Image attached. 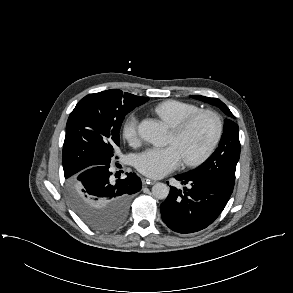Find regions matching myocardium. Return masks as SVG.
Returning a JSON list of instances; mask_svg holds the SVG:
<instances>
[{"label":"myocardium","instance_id":"1","mask_svg":"<svg viewBox=\"0 0 293 293\" xmlns=\"http://www.w3.org/2000/svg\"><path fill=\"white\" fill-rule=\"evenodd\" d=\"M202 117H208L210 118L213 123H214V132L213 135L208 142V144L205 146L203 150H201L199 153L191 156H186L184 157V162L187 165L194 166L202 163L205 159H207L212 152L215 150L216 146L218 145L222 134H223V122L221 117L219 116L218 113L212 110H200L178 124L172 126L171 131L176 137H181L183 136L189 128L200 118Z\"/></svg>","mask_w":293,"mask_h":293}]
</instances>
